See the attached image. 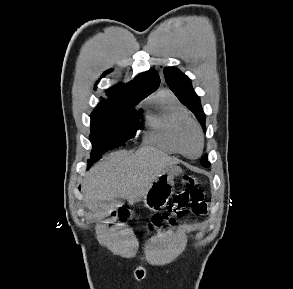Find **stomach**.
<instances>
[{"instance_id":"obj_1","label":"stomach","mask_w":293,"mask_h":289,"mask_svg":"<svg viewBox=\"0 0 293 289\" xmlns=\"http://www.w3.org/2000/svg\"><path fill=\"white\" fill-rule=\"evenodd\" d=\"M181 173L182 169L177 166L166 168L145 194V206L153 211L163 208L174 193V177Z\"/></svg>"}]
</instances>
